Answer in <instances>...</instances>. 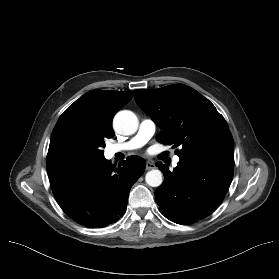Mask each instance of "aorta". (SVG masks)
Returning a JSON list of instances; mask_svg holds the SVG:
<instances>
[{
  "mask_svg": "<svg viewBox=\"0 0 279 279\" xmlns=\"http://www.w3.org/2000/svg\"><path fill=\"white\" fill-rule=\"evenodd\" d=\"M113 127L122 135H132L137 131L138 119L136 115L128 110L118 112L113 119ZM162 172L158 169L146 173L145 181L151 187H158L163 182Z\"/></svg>",
  "mask_w": 279,
  "mask_h": 279,
  "instance_id": "obj_1",
  "label": "aorta"
}]
</instances>
